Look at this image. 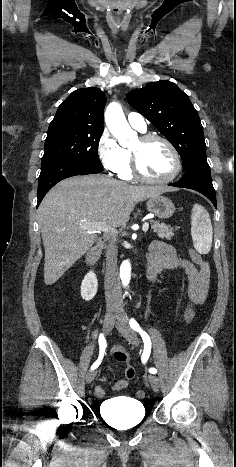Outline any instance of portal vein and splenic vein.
<instances>
[{"instance_id": "1", "label": "portal vein and splenic vein", "mask_w": 236, "mask_h": 467, "mask_svg": "<svg viewBox=\"0 0 236 467\" xmlns=\"http://www.w3.org/2000/svg\"><path fill=\"white\" fill-rule=\"evenodd\" d=\"M88 227H91L93 229H96V230H99V231H103L105 233H117V230H115L114 228L110 227L109 225L103 223V222H100V223H96V224H93L91 226H88ZM149 228V223L148 222H145L143 224V231L144 232H147Z\"/></svg>"}]
</instances>
